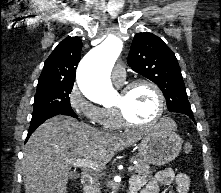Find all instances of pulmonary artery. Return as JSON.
I'll return each instance as SVG.
<instances>
[{
	"mask_svg": "<svg viewBox=\"0 0 221 193\" xmlns=\"http://www.w3.org/2000/svg\"><path fill=\"white\" fill-rule=\"evenodd\" d=\"M111 78L114 83L120 85L126 78L125 68L121 65L115 66L112 71Z\"/></svg>",
	"mask_w": 221,
	"mask_h": 193,
	"instance_id": "1",
	"label": "pulmonary artery"
}]
</instances>
